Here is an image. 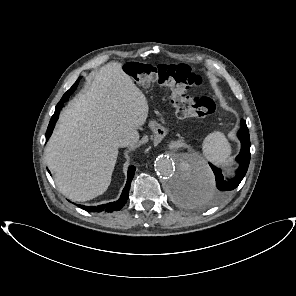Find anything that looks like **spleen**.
<instances>
[{"instance_id":"spleen-1","label":"spleen","mask_w":296,"mask_h":296,"mask_svg":"<svg viewBox=\"0 0 296 296\" xmlns=\"http://www.w3.org/2000/svg\"><path fill=\"white\" fill-rule=\"evenodd\" d=\"M204 156L216 165H225L231 154V147L225 135L216 131L210 133L203 142Z\"/></svg>"}]
</instances>
